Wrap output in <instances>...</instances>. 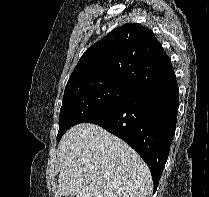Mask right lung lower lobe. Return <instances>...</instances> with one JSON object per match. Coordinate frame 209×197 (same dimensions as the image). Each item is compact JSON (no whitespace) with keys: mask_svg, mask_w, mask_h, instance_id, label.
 <instances>
[{"mask_svg":"<svg viewBox=\"0 0 209 197\" xmlns=\"http://www.w3.org/2000/svg\"><path fill=\"white\" fill-rule=\"evenodd\" d=\"M178 104L173 70L84 122L103 127L136 150L150 168L155 192L174 136Z\"/></svg>","mask_w":209,"mask_h":197,"instance_id":"right-lung-lower-lobe-1","label":"right lung lower lobe"}]
</instances>
